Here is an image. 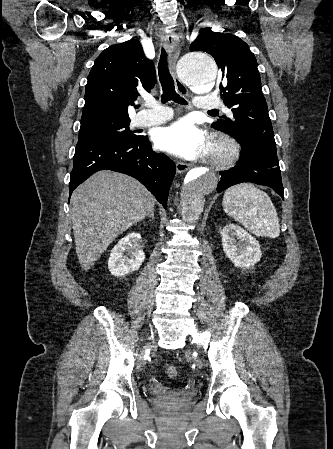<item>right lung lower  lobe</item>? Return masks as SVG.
<instances>
[{
  "instance_id": "98d812e1",
  "label": "right lung lower lobe",
  "mask_w": 333,
  "mask_h": 449,
  "mask_svg": "<svg viewBox=\"0 0 333 449\" xmlns=\"http://www.w3.org/2000/svg\"><path fill=\"white\" fill-rule=\"evenodd\" d=\"M99 170H113L136 178L167 207L175 164L166 155L153 152L147 136L134 142L110 139L78 142L69 183L70 196L79 184Z\"/></svg>"
}]
</instances>
